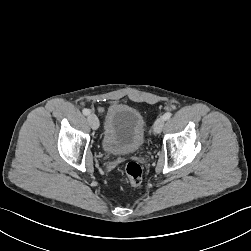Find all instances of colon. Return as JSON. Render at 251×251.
<instances>
[{
    "mask_svg": "<svg viewBox=\"0 0 251 251\" xmlns=\"http://www.w3.org/2000/svg\"><path fill=\"white\" fill-rule=\"evenodd\" d=\"M105 113H106V108L103 105H100L95 110V114L98 117L103 116ZM142 177H143V170L139 163L134 161L127 163L123 171L124 183L136 186L141 183Z\"/></svg>",
    "mask_w": 251,
    "mask_h": 251,
    "instance_id": "1",
    "label": "colon"
}]
</instances>
